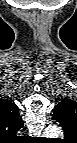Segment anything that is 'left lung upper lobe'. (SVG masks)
<instances>
[{
    "label": "left lung upper lobe",
    "mask_w": 77,
    "mask_h": 143,
    "mask_svg": "<svg viewBox=\"0 0 77 143\" xmlns=\"http://www.w3.org/2000/svg\"><path fill=\"white\" fill-rule=\"evenodd\" d=\"M58 106H65L66 107V113H67V119L63 124H61L65 137H69L71 131L73 130L72 127L77 125V104L76 102L65 99L61 101L53 110V114L57 112V115H59V111L56 109Z\"/></svg>",
    "instance_id": "obj_1"
}]
</instances>
